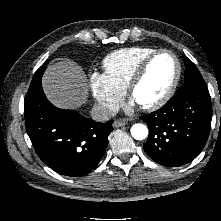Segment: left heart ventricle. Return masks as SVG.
<instances>
[{
	"mask_svg": "<svg viewBox=\"0 0 221 221\" xmlns=\"http://www.w3.org/2000/svg\"><path fill=\"white\" fill-rule=\"evenodd\" d=\"M175 70V62L170 54L163 53L157 56L136 88L133 95L134 102L143 104L158 99L171 84Z\"/></svg>",
	"mask_w": 221,
	"mask_h": 221,
	"instance_id": "1",
	"label": "left heart ventricle"
}]
</instances>
